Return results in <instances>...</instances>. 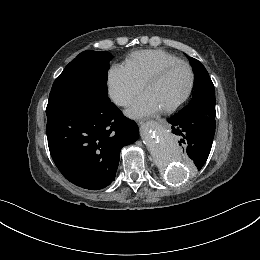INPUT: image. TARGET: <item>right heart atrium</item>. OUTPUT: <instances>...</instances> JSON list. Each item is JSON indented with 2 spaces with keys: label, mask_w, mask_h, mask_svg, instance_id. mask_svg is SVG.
<instances>
[{
  "label": "right heart atrium",
  "mask_w": 260,
  "mask_h": 260,
  "mask_svg": "<svg viewBox=\"0 0 260 260\" xmlns=\"http://www.w3.org/2000/svg\"><path fill=\"white\" fill-rule=\"evenodd\" d=\"M143 89L138 82L122 65L111 67L108 76V90L112 101L118 106H127Z\"/></svg>",
  "instance_id": "1"
}]
</instances>
